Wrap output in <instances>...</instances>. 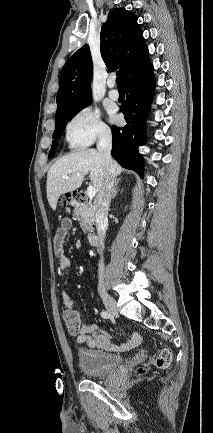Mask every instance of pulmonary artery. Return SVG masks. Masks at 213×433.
Wrapping results in <instances>:
<instances>
[{"label": "pulmonary artery", "mask_w": 213, "mask_h": 433, "mask_svg": "<svg viewBox=\"0 0 213 433\" xmlns=\"http://www.w3.org/2000/svg\"><path fill=\"white\" fill-rule=\"evenodd\" d=\"M115 86V81L113 79L108 81V87H109V91H108V96L111 100H118L119 98V93L118 91L114 88Z\"/></svg>", "instance_id": "pulmonary-artery-1"}]
</instances>
